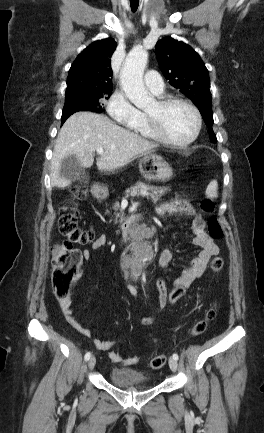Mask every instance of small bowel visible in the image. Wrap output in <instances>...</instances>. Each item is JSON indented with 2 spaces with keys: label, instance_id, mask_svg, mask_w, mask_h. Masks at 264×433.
Here are the masks:
<instances>
[{
  "label": "small bowel",
  "instance_id": "1",
  "mask_svg": "<svg viewBox=\"0 0 264 433\" xmlns=\"http://www.w3.org/2000/svg\"><path fill=\"white\" fill-rule=\"evenodd\" d=\"M157 212L160 215H192V231L194 233L193 243L200 248V252L191 261V266L184 269L182 274L174 281L175 286H183L188 288L196 279L202 276L204 273L207 263L210 258L218 253V247L213 241L212 237L205 231V222L201 216L197 215L193 206L186 200H172L162 203L157 207ZM107 244L105 236H101L96 239L90 248H85L82 251V257L85 261H88L92 256V251L98 250ZM173 258L171 250H165L161 257L160 263L162 266L167 267L170 265ZM157 291L159 293V306L162 308L166 302L168 296L167 286L164 280L158 279L155 282ZM128 289L132 294H135V288L132 285H128ZM59 305L66 321L80 334L90 337L92 335L91 330L84 328L76 320L74 316V309L70 295L59 299ZM153 322V317H145L140 320L142 325H149ZM94 344L97 349L102 351L110 350L116 342L106 341L101 338H95ZM109 357L116 363L121 365H135L139 362V357H124L115 352H110Z\"/></svg>",
  "mask_w": 264,
  "mask_h": 433
}]
</instances>
